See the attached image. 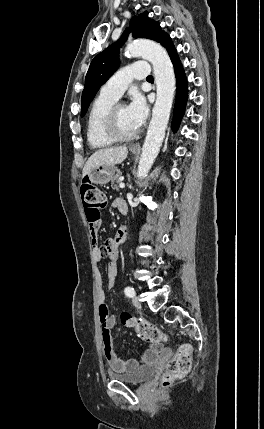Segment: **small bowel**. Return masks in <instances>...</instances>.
Wrapping results in <instances>:
<instances>
[{"mask_svg":"<svg viewBox=\"0 0 264 429\" xmlns=\"http://www.w3.org/2000/svg\"><path fill=\"white\" fill-rule=\"evenodd\" d=\"M124 202L123 199L117 198L113 201L112 207L118 209L119 204ZM100 221L89 224V232L92 240V255L99 262L104 256H107L110 261L107 266V286L112 288L116 283L118 274L117 257L118 246L122 244L128 236V230L121 228L113 238L105 240L104 244H98V233ZM97 296L99 304V317L102 329V344L104 355L115 372L133 371L141 364H152L156 362L159 355L163 352V346L160 344H152L146 349L139 359L127 358L118 354L113 345L112 330L116 326V318L109 312L105 302V291L103 279L100 271H97Z\"/></svg>","mask_w":264,"mask_h":429,"instance_id":"1","label":"small bowel"}]
</instances>
